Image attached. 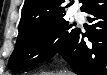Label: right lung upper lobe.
Masks as SVG:
<instances>
[{"instance_id":"right-lung-upper-lobe-1","label":"right lung upper lobe","mask_w":107,"mask_h":75,"mask_svg":"<svg viewBox=\"0 0 107 75\" xmlns=\"http://www.w3.org/2000/svg\"><path fill=\"white\" fill-rule=\"evenodd\" d=\"M80 2L84 3L85 0ZM70 4L66 6L65 0H25L19 26L36 27L63 18Z\"/></svg>"}]
</instances>
